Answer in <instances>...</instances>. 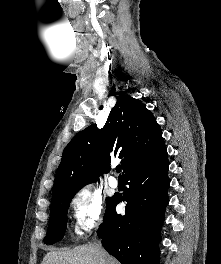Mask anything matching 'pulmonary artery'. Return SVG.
<instances>
[{
	"instance_id": "e3ab8cb5",
	"label": "pulmonary artery",
	"mask_w": 221,
	"mask_h": 264,
	"mask_svg": "<svg viewBox=\"0 0 221 264\" xmlns=\"http://www.w3.org/2000/svg\"><path fill=\"white\" fill-rule=\"evenodd\" d=\"M108 182L112 188L118 187V179L116 177H114V176L109 177Z\"/></svg>"
}]
</instances>
